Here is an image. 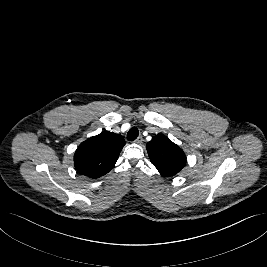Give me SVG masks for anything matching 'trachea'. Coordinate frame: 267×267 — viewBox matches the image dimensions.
Returning a JSON list of instances; mask_svg holds the SVG:
<instances>
[{"label": "trachea", "instance_id": "3493384b", "mask_svg": "<svg viewBox=\"0 0 267 267\" xmlns=\"http://www.w3.org/2000/svg\"><path fill=\"white\" fill-rule=\"evenodd\" d=\"M139 135V130L136 127H132L127 133V140L134 141Z\"/></svg>", "mask_w": 267, "mask_h": 267}]
</instances>
